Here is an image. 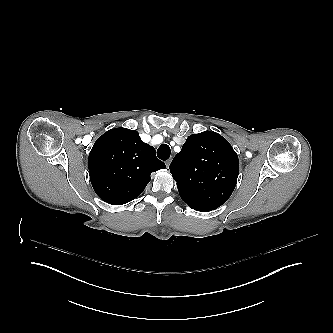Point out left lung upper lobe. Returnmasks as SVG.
<instances>
[{
  "label": "left lung upper lobe",
  "instance_id": "5c2ea615",
  "mask_svg": "<svg viewBox=\"0 0 333 333\" xmlns=\"http://www.w3.org/2000/svg\"><path fill=\"white\" fill-rule=\"evenodd\" d=\"M184 202L197 211H211L231 196L239 160L230 143L216 132L190 135L170 164Z\"/></svg>",
  "mask_w": 333,
  "mask_h": 333
}]
</instances>
